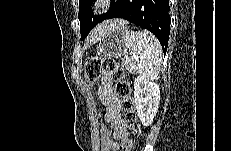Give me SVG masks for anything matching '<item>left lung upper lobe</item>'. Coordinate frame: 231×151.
<instances>
[{
    "label": "left lung upper lobe",
    "mask_w": 231,
    "mask_h": 151,
    "mask_svg": "<svg viewBox=\"0 0 231 151\" xmlns=\"http://www.w3.org/2000/svg\"><path fill=\"white\" fill-rule=\"evenodd\" d=\"M121 0H112L111 7L109 10H111L116 3H118ZM92 0H79V14L78 18L80 20V32H81V39H84L91 29H93L102 19V17L105 14H101L98 16H94L91 10ZM108 13V12H107Z\"/></svg>",
    "instance_id": "left-lung-upper-lobe-1"
}]
</instances>
